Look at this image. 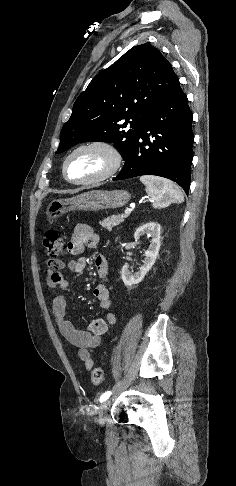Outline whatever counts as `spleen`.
<instances>
[{
    "label": "spleen",
    "mask_w": 236,
    "mask_h": 486,
    "mask_svg": "<svg viewBox=\"0 0 236 486\" xmlns=\"http://www.w3.org/2000/svg\"><path fill=\"white\" fill-rule=\"evenodd\" d=\"M140 181L146 186V193L154 208H163L171 203H182L184 201L181 190L168 179L144 175L140 177Z\"/></svg>",
    "instance_id": "spleen-1"
}]
</instances>
